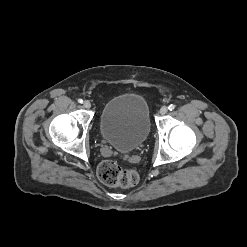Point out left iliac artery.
Returning a JSON list of instances; mask_svg holds the SVG:
<instances>
[{"instance_id": "44dca946", "label": "left iliac artery", "mask_w": 247, "mask_h": 247, "mask_svg": "<svg viewBox=\"0 0 247 247\" xmlns=\"http://www.w3.org/2000/svg\"><path fill=\"white\" fill-rule=\"evenodd\" d=\"M168 109H169L170 111L174 110V109H175V105H174V104H170L169 107H168Z\"/></svg>"}]
</instances>
